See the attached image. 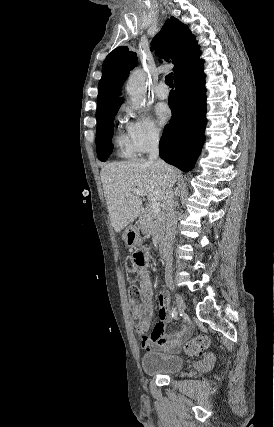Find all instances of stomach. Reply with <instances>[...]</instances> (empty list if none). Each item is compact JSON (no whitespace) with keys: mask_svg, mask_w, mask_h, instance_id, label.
<instances>
[{"mask_svg":"<svg viewBox=\"0 0 274 427\" xmlns=\"http://www.w3.org/2000/svg\"><path fill=\"white\" fill-rule=\"evenodd\" d=\"M123 239L128 247H137L142 243L139 227L137 225H128L123 233Z\"/></svg>","mask_w":274,"mask_h":427,"instance_id":"0dacf381","label":"stomach"}]
</instances>
